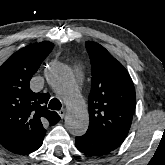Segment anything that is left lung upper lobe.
<instances>
[{"label":"left lung upper lobe","instance_id":"obj_1","mask_svg":"<svg viewBox=\"0 0 165 165\" xmlns=\"http://www.w3.org/2000/svg\"><path fill=\"white\" fill-rule=\"evenodd\" d=\"M85 46L92 67L88 130L121 144L128 134L136 107L132 79L103 46L92 41H87Z\"/></svg>","mask_w":165,"mask_h":165}]
</instances>
